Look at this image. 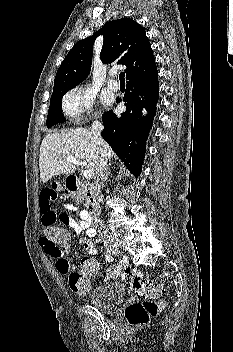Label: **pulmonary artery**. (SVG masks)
Instances as JSON below:
<instances>
[{
	"label": "pulmonary artery",
	"instance_id": "pulmonary-artery-1",
	"mask_svg": "<svg viewBox=\"0 0 233 352\" xmlns=\"http://www.w3.org/2000/svg\"><path fill=\"white\" fill-rule=\"evenodd\" d=\"M115 75V71H112L111 72V76H114ZM108 87L112 90H118L119 89V83L117 80L115 79H110L108 81Z\"/></svg>",
	"mask_w": 233,
	"mask_h": 352
}]
</instances>
